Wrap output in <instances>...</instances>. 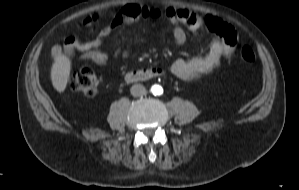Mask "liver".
I'll list each match as a JSON object with an SVG mask.
<instances>
[{
	"instance_id": "obj_1",
	"label": "liver",
	"mask_w": 299,
	"mask_h": 190,
	"mask_svg": "<svg viewBox=\"0 0 299 190\" xmlns=\"http://www.w3.org/2000/svg\"><path fill=\"white\" fill-rule=\"evenodd\" d=\"M71 71V61L65 55L56 58L51 69V80L53 87L58 92H63L69 80Z\"/></svg>"
}]
</instances>
